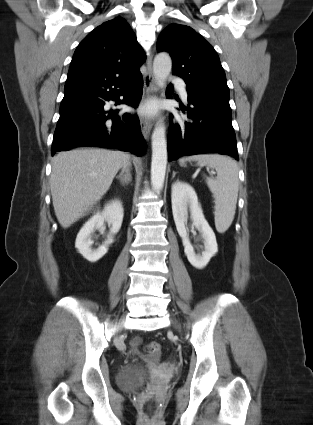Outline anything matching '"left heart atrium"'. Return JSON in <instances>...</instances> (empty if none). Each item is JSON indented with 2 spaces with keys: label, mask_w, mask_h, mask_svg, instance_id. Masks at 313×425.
I'll return each instance as SVG.
<instances>
[{
  "label": "left heart atrium",
  "mask_w": 313,
  "mask_h": 425,
  "mask_svg": "<svg viewBox=\"0 0 313 425\" xmlns=\"http://www.w3.org/2000/svg\"><path fill=\"white\" fill-rule=\"evenodd\" d=\"M152 110H153V106H150V107H149V111H152Z\"/></svg>",
  "instance_id": "obj_1"
}]
</instances>
